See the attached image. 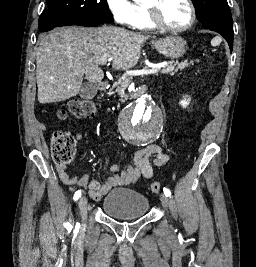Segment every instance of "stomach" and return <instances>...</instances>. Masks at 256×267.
Instances as JSON below:
<instances>
[{"label":"stomach","mask_w":256,"mask_h":267,"mask_svg":"<svg viewBox=\"0 0 256 267\" xmlns=\"http://www.w3.org/2000/svg\"><path fill=\"white\" fill-rule=\"evenodd\" d=\"M152 44L165 58H181L187 50L186 40L181 36H165L153 40Z\"/></svg>","instance_id":"0dacf381"}]
</instances>
